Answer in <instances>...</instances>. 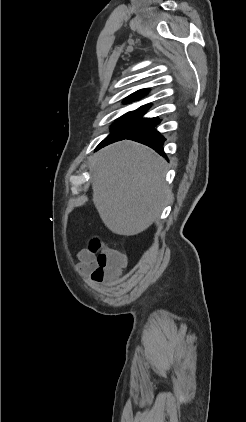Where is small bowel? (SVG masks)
Returning a JSON list of instances; mask_svg holds the SVG:
<instances>
[{"mask_svg":"<svg viewBox=\"0 0 246 422\" xmlns=\"http://www.w3.org/2000/svg\"><path fill=\"white\" fill-rule=\"evenodd\" d=\"M78 269L81 274L88 275L91 274V278L94 282H102L103 280H97L92 277V273L95 270L97 263L94 255L88 250H81L78 253Z\"/></svg>","mask_w":246,"mask_h":422,"instance_id":"c3829d8e","label":"small bowel"}]
</instances>
